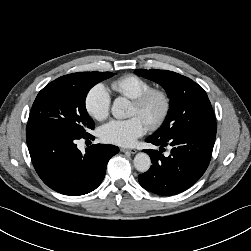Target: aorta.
Wrapping results in <instances>:
<instances>
[{"label": "aorta", "mask_w": 251, "mask_h": 251, "mask_svg": "<svg viewBox=\"0 0 251 251\" xmlns=\"http://www.w3.org/2000/svg\"><path fill=\"white\" fill-rule=\"evenodd\" d=\"M111 112L117 119L130 117L132 115L130 101L124 97L116 98L111 107ZM134 166L139 172H147L151 166L149 155L144 152L138 153L134 158Z\"/></svg>", "instance_id": "762f6f07"}]
</instances>
